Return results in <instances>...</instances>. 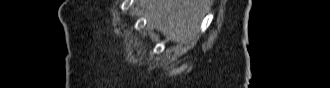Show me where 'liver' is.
<instances>
[{
	"label": "liver",
	"mask_w": 330,
	"mask_h": 88,
	"mask_svg": "<svg viewBox=\"0 0 330 88\" xmlns=\"http://www.w3.org/2000/svg\"><path fill=\"white\" fill-rule=\"evenodd\" d=\"M146 15L168 40L187 42L196 36L201 17L210 0H145Z\"/></svg>",
	"instance_id": "obj_1"
}]
</instances>
